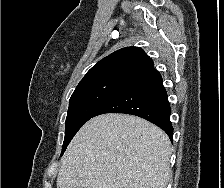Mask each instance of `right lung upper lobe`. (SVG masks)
<instances>
[{"label": "right lung upper lobe", "instance_id": "1", "mask_svg": "<svg viewBox=\"0 0 224 188\" xmlns=\"http://www.w3.org/2000/svg\"><path fill=\"white\" fill-rule=\"evenodd\" d=\"M154 65L153 60L139 47H126L113 52L94 65L80 81L105 78L134 79Z\"/></svg>", "mask_w": 224, "mask_h": 188}]
</instances>
